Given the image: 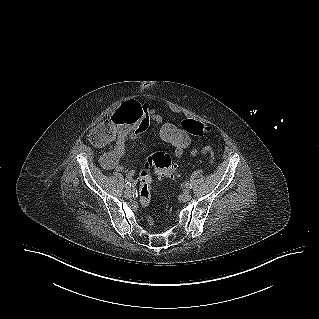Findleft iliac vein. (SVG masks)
I'll list each match as a JSON object with an SVG mask.
<instances>
[{
  "mask_svg": "<svg viewBox=\"0 0 319 319\" xmlns=\"http://www.w3.org/2000/svg\"><path fill=\"white\" fill-rule=\"evenodd\" d=\"M180 200L183 202H187L190 201L192 198V195L190 194V192L188 190H185L181 195H180Z\"/></svg>",
  "mask_w": 319,
  "mask_h": 319,
  "instance_id": "1",
  "label": "left iliac vein"
}]
</instances>
